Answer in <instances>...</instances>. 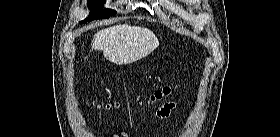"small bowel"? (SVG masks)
Wrapping results in <instances>:
<instances>
[{
  "label": "small bowel",
  "instance_id": "small-bowel-1",
  "mask_svg": "<svg viewBox=\"0 0 280 137\" xmlns=\"http://www.w3.org/2000/svg\"><path fill=\"white\" fill-rule=\"evenodd\" d=\"M174 108V104L170 103V104H166L163 107H161L154 115V118H165L167 117L171 111Z\"/></svg>",
  "mask_w": 280,
  "mask_h": 137
}]
</instances>
